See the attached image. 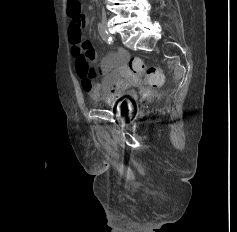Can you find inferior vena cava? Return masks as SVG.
<instances>
[{"label":"inferior vena cava","mask_w":237,"mask_h":232,"mask_svg":"<svg viewBox=\"0 0 237 232\" xmlns=\"http://www.w3.org/2000/svg\"><path fill=\"white\" fill-rule=\"evenodd\" d=\"M102 17H103V19H106V15H105V11L104 10L102 11Z\"/></svg>","instance_id":"1"}]
</instances>
